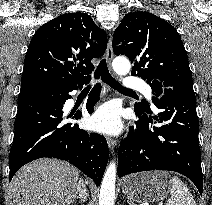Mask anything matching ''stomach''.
Instances as JSON below:
<instances>
[{"mask_svg": "<svg viewBox=\"0 0 212 205\" xmlns=\"http://www.w3.org/2000/svg\"><path fill=\"white\" fill-rule=\"evenodd\" d=\"M122 191L130 201L137 203L163 200L171 189V178L164 171L132 174L122 180Z\"/></svg>", "mask_w": 212, "mask_h": 205, "instance_id": "stomach-1", "label": "stomach"}]
</instances>
